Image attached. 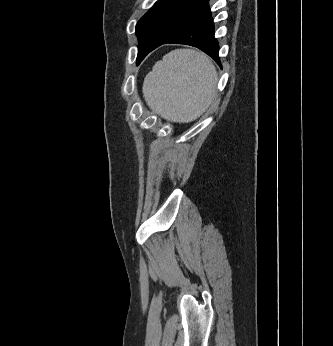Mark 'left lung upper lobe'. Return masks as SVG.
Returning <instances> with one entry per match:
<instances>
[{
	"instance_id": "obj_1",
	"label": "left lung upper lobe",
	"mask_w": 333,
	"mask_h": 346,
	"mask_svg": "<svg viewBox=\"0 0 333 346\" xmlns=\"http://www.w3.org/2000/svg\"><path fill=\"white\" fill-rule=\"evenodd\" d=\"M208 2L209 0H158L136 25L139 41L137 64L144 59L153 44L173 34Z\"/></svg>"
}]
</instances>
